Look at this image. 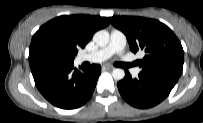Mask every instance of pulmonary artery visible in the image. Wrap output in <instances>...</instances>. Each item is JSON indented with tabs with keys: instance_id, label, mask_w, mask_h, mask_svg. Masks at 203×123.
<instances>
[{
	"instance_id": "1",
	"label": "pulmonary artery",
	"mask_w": 203,
	"mask_h": 123,
	"mask_svg": "<svg viewBox=\"0 0 203 123\" xmlns=\"http://www.w3.org/2000/svg\"><path fill=\"white\" fill-rule=\"evenodd\" d=\"M126 44L125 35L117 29H113L110 35L109 43L94 52L82 54L79 56L78 60L80 62H90V63H100L109 59L114 54L121 55L124 51ZM131 73L137 76L140 73V68L135 67L131 69Z\"/></svg>"
}]
</instances>
